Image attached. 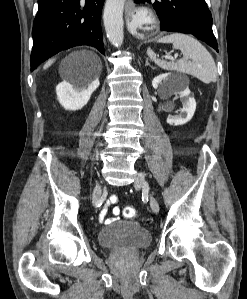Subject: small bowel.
<instances>
[{
	"instance_id": "1",
	"label": "small bowel",
	"mask_w": 247,
	"mask_h": 299,
	"mask_svg": "<svg viewBox=\"0 0 247 299\" xmlns=\"http://www.w3.org/2000/svg\"><path fill=\"white\" fill-rule=\"evenodd\" d=\"M117 201H118V197L116 195H111L107 199L104 207L101 209V211L99 213V221L100 222L111 223L118 219V216L120 214V208L117 206H114L111 208V213H112L113 217H110V218L108 217L110 207L113 206L114 204H116Z\"/></svg>"
}]
</instances>
